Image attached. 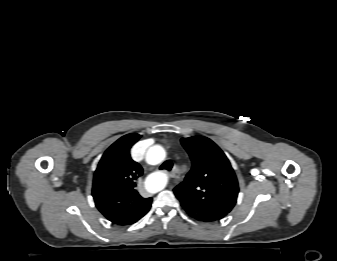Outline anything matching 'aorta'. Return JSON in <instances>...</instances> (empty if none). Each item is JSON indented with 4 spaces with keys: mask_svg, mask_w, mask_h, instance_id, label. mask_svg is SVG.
I'll return each instance as SVG.
<instances>
[{
    "mask_svg": "<svg viewBox=\"0 0 337 261\" xmlns=\"http://www.w3.org/2000/svg\"><path fill=\"white\" fill-rule=\"evenodd\" d=\"M166 156L164 148L160 145L151 146L146 153V162L150 165L160 164ZM153 179L158 180V184L155 186V191H160L164 187V179L162 176L158 175ZM151 186V182L149 183Z\"/></svg>",
    "mask_w": 337,
    "mask_h": 261,
    "instance_id": "obj_1",
    "label": "aorta"
}]
</instances>
